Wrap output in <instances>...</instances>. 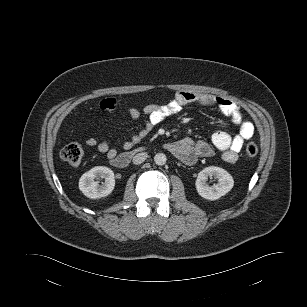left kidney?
Instances as JSON below:
<instances>
[{"label":"left kidney","mask_w":307,"mask_h":307,"mask_svg":"<svg viewBox=\"0 0 307 307\" xmlns=\"http://www.w3.org/2000/svg\"><path fill=\"white\" fill-rule=\"evenodd\" d=\"M209 177H214L218 182L213 186H209L207 184ZM195 185L201 197L207 200H217L233 188L234 180L223 168L210 166L198 173Z\"/></svg>","instance_id":"5707ae66"}]
</instances>
